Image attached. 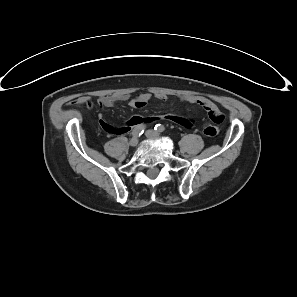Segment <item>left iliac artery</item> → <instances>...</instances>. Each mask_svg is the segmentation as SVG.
Instances as JSON below:
<instances>
[{
  "label": "left iliac artery",
  "mask_w": 297,
  "mask_h": 297,
  "mask_svg": "<svg viewBox=\"0 0 297 297\" xmlns=\"http://www.w3.org/2000/svg\"><path fill=\"white\" fill-rule=\"evenodd\" d=\"M157 132H163L164 131V127L160 124H157L154 128Z\"/></svg>",
  "instance_id": "1"
}]
</instances>
